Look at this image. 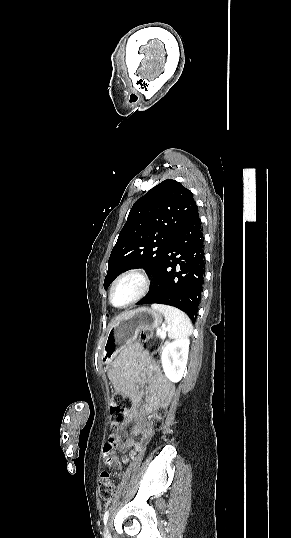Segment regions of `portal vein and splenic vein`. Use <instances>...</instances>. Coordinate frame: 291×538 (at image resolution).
Returning a JSON list of instances; mask_svg holds the SVG:
<instances>
[{"instance_id": "1", "label": "portal vein and splenic vein", "mask_w": 291, "mask_h": 538, "mask_svg": "<svg viewBox=\"0 0 291 538\" xmlns=\"http://www.w3.org/2000/svg\"><path fill=\"white\" fill-rule=\"evenodd\" d=\"M159 335H160V337H165V336H166V332L161 331V332H159Z\"/></svg>"}]
</instances>
